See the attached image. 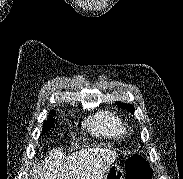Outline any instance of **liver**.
<instances>
[{
	"instance_id": "6515ba94",
	"label": "liver",
	"mask_w": 183,
	"mask_h": 179,
	"mask_svg": "<svg viewBox=\"0 0 183 179\" xmlns=\"http://www.w3.org/2000/svg\"><path fill=\"white\" fill-rule=\"evenodd\" d=\"M117 156L110 148H85L69 156L55 149L43 167L34 165L30 175L32 179H102Z\"/></svg>"
}]
</instances>
